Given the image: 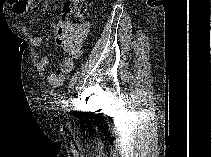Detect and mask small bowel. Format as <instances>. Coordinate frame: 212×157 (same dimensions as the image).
I'll list each match as a JSON object with an SVG mask.
<instances>
[{"label":"small bowel","instance_id":"1","mask_svg":"<svg viewBox=\"0 0 212 157\" xmlns=\"http://www.w3.org/2000/svg\"><path fill=\"white\" fill-rule=\"evenodd\" d=\"M10 5L14 11V13L18 16H23L27 13L30 3L27 0H10ZM88 25L85 24L81 29V38L77 43L78 53L76 55H65L62 57L60 62L61 73H51L48 76V83L52 87H60L65 79V74L70 72L74 67V62L78 58L80 53V45L85 38L87 32ZM68 29L65 21H60L56 27L55 37H57ZM43 44V39L41 37H35L33 39L34 47H40ZM50 64V57L48 55H42L39 58V65L42 68H46Z\"/></svg>","mask_w":212,"mask_h":157}]
</instances>
